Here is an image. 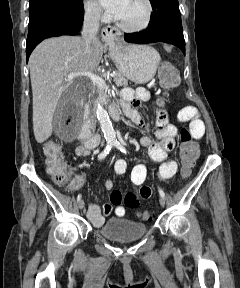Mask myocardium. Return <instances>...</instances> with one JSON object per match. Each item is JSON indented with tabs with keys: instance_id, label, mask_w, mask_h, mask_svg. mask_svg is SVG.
<instances>
[{
	"instance_id": "1",
	"label": "myocardium",
	"mask_w": 240,
	"mask_h": 288,
	"mask_svg": "<svg viewBox=\"0 0 240 288\" xmlns=\"http://www.w3.org/2000/svg\"><path fill=\"white\" fill-rule=\"evenodd\" d=\"M143 2L145 3L147 7V15H146L144 22L138 26H130L119 19L118 24L124 31L141 32V31L146 30L151 25V22L153 19V13H154L153 4L151 0H143Z\"/></svg>"
}]
</instances>
